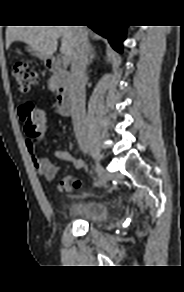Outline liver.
Segmentation results:
<instances>
[{
	"mask_svg": "<svg viewBox=\"0 0 184 292\" xmlns=\"http://www.w3.org/2000/svg\"><path fill=\"white\" fill-rule=\"evenodd\" d=\"M60 37V51L71 61L78 39L76 26H9L6 30V46L9 47L13 41H22L39 53L51 57L57 50Z\"/></svg>",
	"mask_w": 184,
	"mask_h": 292,
	"instance_id": "obj_1",
	"label": "liver"
}]
</instances>
